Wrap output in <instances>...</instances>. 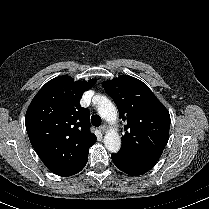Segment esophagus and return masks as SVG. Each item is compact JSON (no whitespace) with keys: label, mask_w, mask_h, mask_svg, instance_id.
<instances>
[{"label":"esophagus","mask_w":209,"mask_h":209,"mask_svg":"<svg viewBox=\"0 0 209 209\" xmlns=\"http://www.w3.org/2000/svg\"><path fill=\"white\" fill-rule=\"evenodd\" d=\"M100 130H101L102 133H105L107 131V126L106 125H102L100 127Z\"/></svg>","instance_id":"34e87169"}]
</instances>
